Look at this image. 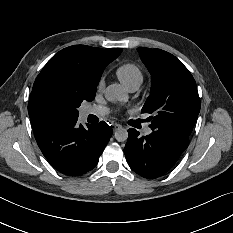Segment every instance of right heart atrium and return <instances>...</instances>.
<instances>
[{
	"label": "right heart atrium",
	"mask_w": 233,
	"mask_h": 233,
	"mask_svg": "<svg viewBox=\"0 0 233 233\" xmlns=\"http://www.w3.org/2000/svg\"><path fill=\"white\" fill-rule=\"evenodd\" d=\"M103 86H104V79H101V80L99 81L98 88H99V89H102Z\"/></svg>",
	"instance_id": "obj_1"
}]
</instances>
